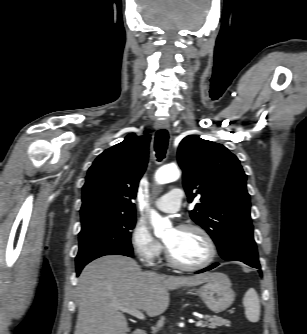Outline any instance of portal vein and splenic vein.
I'll return each mask as SVG.
<instances>
[{"label": "portal vein and splenic vein", "mask_w": 307, "mask_h": 334, "mask_svg": "<svg viewBox=\"0 0 307 334\" xmlns=\"http://www.w3.org/2000/svg\"><path fill=\"white\" fill-rule=\"evenodd\" d=\"M119 310L122 311V312H126V313H129L130 315L138 318V319H141V320H145L146 317L145 315L143 314V312L139 311V310H136V309H129V308H124V307H119ZM203 325V321H198L196 323V326L197 327H200Z\"/></svg>", "instance_id": "obj_1"}]
</instances>
